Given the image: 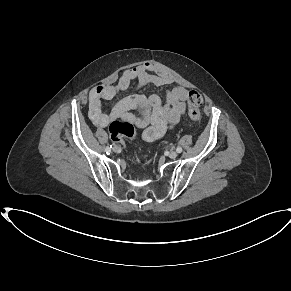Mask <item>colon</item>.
<instances>
[{
	"mask_svg": "<svg viewBox=\"0 0 291 291\" xmlns=\"http://www.w3.org/2000/svg\"><path fill=\"white\" fill-rule=\"evenodd\" d=\"M188 115L192 120L200 117V108L203 104V97L197 91H190L187 97ZM110 134L114 141L121 142L124 137L133 139L135 128L132 123L122 120H114L110 125Z\"/></svg>",
	"mask_w": 291,
	"mask_h": 291,
	"instance_id": "5ec220e1",
	"label": "colon"
}]
</instances>
